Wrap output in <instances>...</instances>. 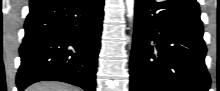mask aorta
<instances>
[{
  "label": "aorta",
  "mask_w": 220,
  "mask_h": 91,
  "mask_svg": "<svg viewBox=\"0 0 220 91\" xmlns=\"http://www.w3.org/2000/svg\"><path fill=\"white\" fill-rule=\"evenodd\" d=\"M134 0H126V6H127V11H128V17L133 18L134 15Z\"/></svg>",
  "instance_id": "1"
}]
</instances>
